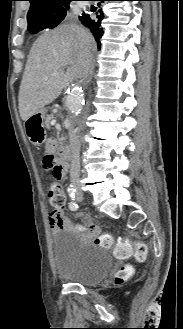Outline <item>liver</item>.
<instances>
[{
  "instance_id": "obj_1",
  "label": "liver",
  "mask_w": 183,
  "mask_h": 329,
  "mask_svg": "<svg viewBox=\"0 0 183 329\" xmlns=\"http://www.w3.org/2000/svg\"><path fill=\"white\" fill-rule=\"evenodd\" d=\"M84 49L92 54L96 43L90 31L76 23L46 32L35 41L19 90V112L23 121L53 102L74 79H81L80 54Z\"/></svg>"
}]
</instances>
